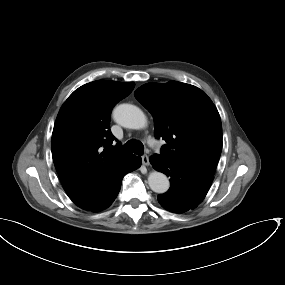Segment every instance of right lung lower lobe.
Listing matches in <instances>:
<instances>
[{
  "mask_svg": "<svg viewBox=\"0 0 285 285\" xmlns=\"http://www.w3.org/2000/svg\"><path fill=\"white\" fill-rule=\"evenodd\" d=\"M140 165L141 157H133L129 164L125 166L118 174H116L108 183H106L101 191L92 200L79 207L92 212H98L109 207L120 191L123 177L127 173L140 167Z\"/></svg>",
  "mask_w": 285,
  "mask_h": 285,
  "instance_id": "1",
  "label": "right lung lower lobe"
}]
</instances>
